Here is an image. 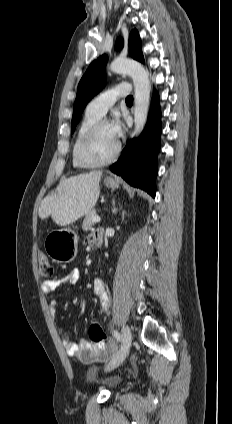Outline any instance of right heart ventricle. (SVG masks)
<instances>
[{"label":"right heart ventricle","mask_w":232,"mask_h":424,"mask_svg":"<svg viewBox=\"0 0 232 424\" xmlns=\"http://www.w3.org/2000/svg\"><path fill=\"white\" fill-rule=\"evenodd\" d=\"M98 119H100V116L86 110L84 116L82 117L76 133H75V137H74V141H73V145H72V164L75 168H85L80 161L78 160L77 157V148H78V144L82 138V136L85 134V132L88 130V128L94 123L96 122Z\"/></svg>","instance_id":"1"}]
</instances>
